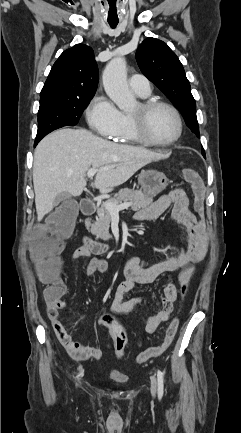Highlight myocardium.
Here are the masks:
<instances>
[{
    "instance_id": "myocardium-1",
    "label": "myocardium",
    "mask_w": 241,
    "mask_h": 433,
    "mask_svg": "<svg viewBox=\"0 0 241 433\" xmlns=\"http://www.w3.org/2000/svg\"><path fill=\"white\" fill-rule=\"evenodd\" d=\"M140 113L139 114H130V120L132 124L133 131L138 139L149 146L155 147H169L176 144L182 136L183 133V121L179 111L170 103L157 100V99H148L142 101L140 104ZM166 108L170 110L176 118L178 131L176 136L168 141V142H158L152 139L147 131V119L150 113L157 108Z\"/></svg>"
}]
</instances>
